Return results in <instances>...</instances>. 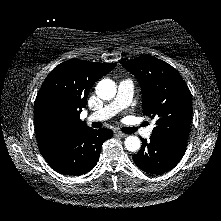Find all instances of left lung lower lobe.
Wrapping results in <instances>:
<instances>
[{
    "mask_svg": "<svg viewBox=\"0 0 221 221\" xmlns=\"http://www.w3.org/2000/svg\"><path fill=\"white\" fill-rule=\"evenodd\" d=\"M186 147L157 140L142 138L141 150L133 155V161L143 171L162 174L173 169L185 154Z\"/></svg>",
    "mask_w": 221,
    "mask_h": 221,
    "instance_id": "obj_1",
    "label": "left lung lower lobe"
}]
</instances>
